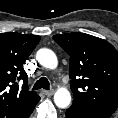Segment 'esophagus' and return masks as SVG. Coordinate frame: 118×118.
<instances>
[{"mask_svg": "<svg viewBox=\"0 0 118 118\" xmlns=\"http://www.w3.org/2000/svg\"><path fill=\"white\" fill-rule=\"evenodd\" d=\"M43 93L46 96H52L54 94V90H43Z\"/></svg>", "mask_w": 118, "mask_h": 118, "instance_id": "1", "label": "esophagus"}]
</instances>
